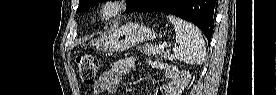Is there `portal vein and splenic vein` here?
<instances>
[{
	"label": "portal vein and splenic vein",
	"instance_id": "obj_1",
	"mask_svg": "<svg viewBox=\"0 0 277 95\" xmlns=\"http://www.w3.org/2000/svg\"><path fill=\"white\" fill-rule=\"evenodd\" d=\"M168 47V44L166 42H164L162 45H161V48L164 49V48H167Z\"/></svg>",
	"mask_w": 277,
	"mask_h": 95
}]
</instances>
